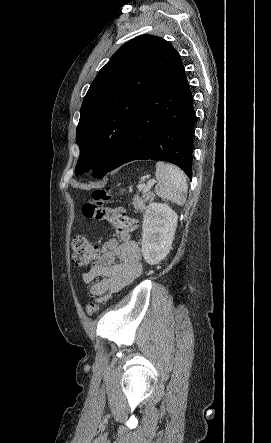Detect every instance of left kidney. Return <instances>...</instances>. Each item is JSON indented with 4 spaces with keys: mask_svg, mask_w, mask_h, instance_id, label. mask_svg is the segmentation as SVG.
Returning <instances> with one entry per match:
<instances>
[{
    "mask_svg": "<svg viewBox=\"0 0 271 443\" xmlns=\"http://www.w3.org/2000/svg\"><path fill=\"white\" fill-rule=\"evenodd\" d=\"M178 216L168 204H149L144 214L142 253L150 265L159 263L172 249Z\"/></svg>",
    "mask_w": 271,
    "mask_h": 443,
    "instance_id": "left-kidney-1",
    "label": "left kidney"
}]
</instances>
